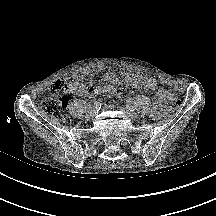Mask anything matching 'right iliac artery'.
<instances>
[{"instance_id":"82829eb1","label":"right iliac artery","mask_w":216,"mask_h":216,"mask_svg":"<svg viewBox=\"0 0 216 216\" xmlns=\"http://www.w3.org/2000/svg\"><path fill=\"white\" fill-rule=\"evenodd\" d=\"M100 107H101V103L99 101H95L91 106V110H93L96 113L100 110Z\"/></svg>"}]
</instances>
